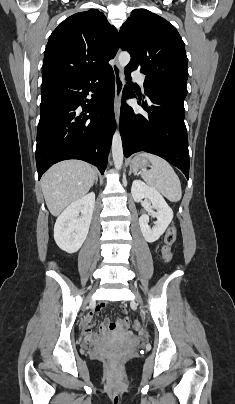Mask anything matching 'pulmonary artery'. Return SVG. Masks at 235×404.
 <instances>
[{
    "label": "pulmonary artery",
    "instance_id": "1",
    "mask_svg": "<svg viewBox=\"0 0 235 404\" xmlns=\"http://www.w3.org/2000/svg\"><path fill=\"white\" fill-rule=\"evenodd\" d=\"M132 78H133L135 81L139 82L141 85L144 84L143 76H142V74H141L139 71L134 70V71L132 72Z\"/></svg>",
    "mask_w": 235,
    "mask_h": 404
}]
</instances>
